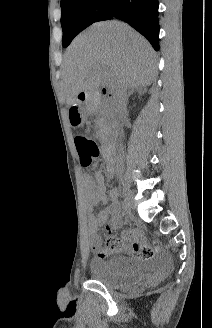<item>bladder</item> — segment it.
Wrapping results in <instances>:
<instances>
[{"instance_id": "obj_1", "label": "bladder", "mask_w": 212, "mask_h": 328, "mask_svg": "<svg viewBox=\"0 0 212 328\" xmlns=\"http://www.w3.org/2000/svg\"><path fill=\"white\" fill-rule=\"evenodd\" d=\"M89 271L93 280L108 288L131 286L144 278L142 263L139 261L126 264L123 259H94L89 264Z\"/></svg>"}]
</instances>
